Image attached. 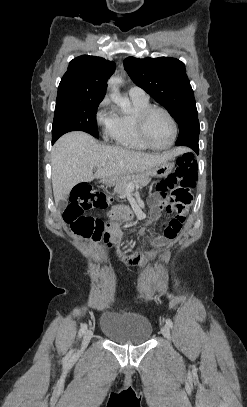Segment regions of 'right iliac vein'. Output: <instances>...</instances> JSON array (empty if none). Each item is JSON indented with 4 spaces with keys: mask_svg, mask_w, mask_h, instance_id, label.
<instances>
[{
    "mask_svg": "<svg viewBox=\"0 0 247 407\" xmlns=\"http://www.w3.org/2000/svg\"><path fill=\"white\" fill-rule=\"evenodd\" d=\"M92 335H93V333H92L91 330H87L85 332V334L83 336V339H82V344H81L80 351H83L87 347V345L89 344V342H90V340L92 338Z\"/></svg>",
    "mask_w": 247,
    "mask_h": 407,
    "instance_id": "obj_1",
    "label": "right iliac vein"
}]
</instances>
